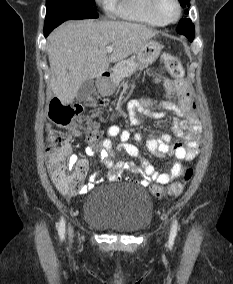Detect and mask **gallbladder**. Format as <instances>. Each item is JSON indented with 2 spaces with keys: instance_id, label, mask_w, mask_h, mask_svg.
I'll return each instance as SVG.
<instances>
[{
  "instance_id": "1",
  "label": "gallbladder",
  "mask_w": 233,
  "mask_h": 284,
  "mask_svg": "<svg viewBox=\"0 0 233 284\" xmlns=\"http://www.w3.org/2000/svg\"><path fill=\"white\" fill-rule=\"evenodd\" d=\"M94 91H95L94 81L88 79L84 81L80 86L76 95V100L78 102H82L86 100L88 97H90Z\"/></svg>"
}]
</instances>
